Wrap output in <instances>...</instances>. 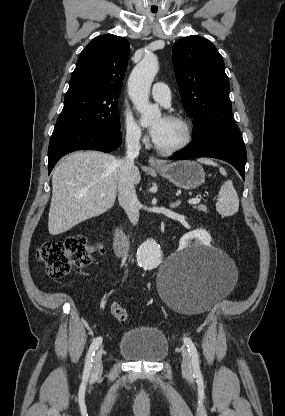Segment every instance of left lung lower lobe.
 <instances>
[{"label": "left lung lower lobe", "instance_id": "1", "mask_svg": "<svg viewBox=\"0 0 285 416\" xmlns=\"http://www.w3.org/2000/svg\"><path fill=\"white\" fill-rule=\"evenodd\" d=\"M197 157L222 159L233 165L245 179L246 148L237 126L222 127L207 132L181 151L171 156V160H184Z\"/></svg>", "mask_w": 285, "mask_h": 416}]
</instances>
